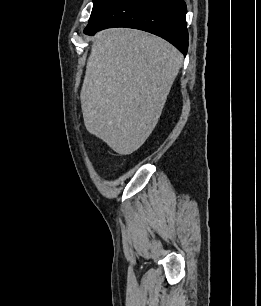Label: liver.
Segmentation results:
<instances>
[{"label":"liver","mask_w":261,"mask_h":306,"mask_svg":"<svg viewBox=\"0 0 261 306\" xmlns=\"http://www.w3.org/2000/svg\"><path fill=\"white\" fill-rule=\"evenodd\" d=\"M183 55L144 31L113 28L91 47L80 93L88 132L120 155L138 150L154 130Z\"/></svg>","instance_id":"1"}]
</instances>
